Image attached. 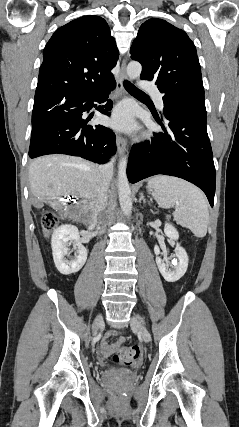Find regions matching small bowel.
<instances>
[{
	"instance_id": "c3829d8e",
	"label": "small bowel",
	"mask_w": 239,
	"mask_h": 427,
	"mask_svg": "<svg viewBox=\"0 0 239 427\" xmlns=\"http://www.w3.org/2000/svg\"><path fill=\"white\" fill-rule=\"evenodd\" d=\"M111 334L112 332L107 333L106 336L101 341L100 347H101V352L104 356H109L112 352H114L124 343V338L122 337L119 338L114 343H109L108 339L111 336Z\"/></svg>"
}]
</instances>
